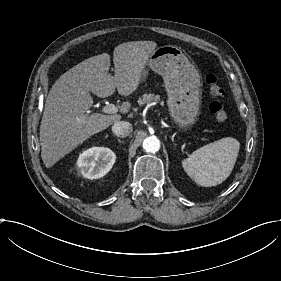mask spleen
Returning a JSON list of instances; mask_svg holds the SVG:
<instances>
[{"instance_id": "1", "label": "spleen", "mask_w": 281, "mask_h": 281, "mask_svg": "<svg viewBox=\"0 0 281 281\" xmlns=\"http://www.w3.org/2000/svg\"><path fill=\"white\" fill-rule=\"evenodd\" d=\"M240 143L226 137L194 151L182 162L183 169L196 183L204 187L221 184L231 174Z\"/></svg>"}]
</instances>
